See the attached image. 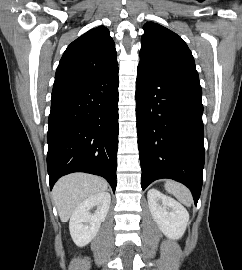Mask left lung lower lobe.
Returning <instances> with one entry per match:
<instances>
[{
  "mask_svg": "<svg viewBox=\"0 0 242 270\" xmlns=\"http://www.w3.org/2000/svg\"><path fill=\"white\" fill-rule=\"evenodd\" d=\"M137 71L142 189L157 179L170 178L186 185L197 205L205 158L202 89L142 65Z\"/></svg>",
  "mask_w": 242,
  "mask_h": 270,
  "instance_id": "left-lung-lower-lobe-1",
  "label": "left lung lower lobe"
}]
</instances>
